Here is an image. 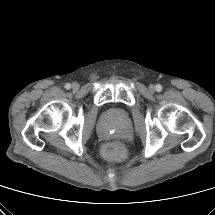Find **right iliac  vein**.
Listing matches in <instances>:
<instances>
[{
    "mask_svg": "<svg viewBox=\"0 0 215 215\" xmlns=\"http://www.w3.org/2000/svg\"><path fill=\"white\" fill-rule=\"evenodd\" d=\"M72 89H73V90H78V89H79V84L76 83V82L73 83V84H72Z\"/></svg>",
    "mask_w": 215,
    "mask_h": 215,
    "instance_id": "obj_1",
    "label": "right iliac vein"
}]
</instances>
